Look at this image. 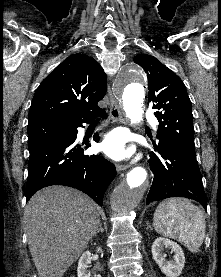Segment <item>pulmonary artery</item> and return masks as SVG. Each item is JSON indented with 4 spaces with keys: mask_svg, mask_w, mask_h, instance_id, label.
I'll use <instances>...</instances> for the list:
<instances>
[{
    "mask_svg": "<svg viewBox=\"0 0 221 277\" xmlns=\"http://www.w3.org/2000/svg\"><path fill=\"white\" fill-rule=\"evenodd\" d=\"M146 118L150 121H152L155 125L157 124L156 119L154 118V116L151 113H147L146 114Z\"/></svg>",
    "mask_w": 221,
    "mask_h": 277,
    "instance_id": "obj_1",
    "label": "pulmonary artery"
}]
</instances>
